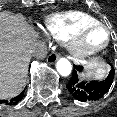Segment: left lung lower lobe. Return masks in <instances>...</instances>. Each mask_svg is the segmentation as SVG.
Instances as JSON below:
<instances>
[{
    "label": "left lung lower lobe",
    "instance_id": "0a47b994",
    "mask_svg": "<svg viewBox=\"0 0 117 117\" xmlns=\"http://www.w3.org/2000/svg\"><path fill=\"white\" fill-rule=\"evenodd\" d=\"M82 71V66L74 65L72 78L66 85L68 91L81 102L99 100L111 87L115 73L114 69L112 68L107 78L102 81H82L78 76V73Z\"/></svg>",
    "mask_w": 117,
    "mask_h": 117
}]
</instances>
